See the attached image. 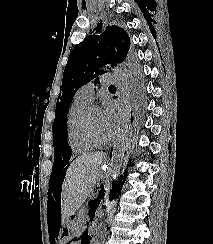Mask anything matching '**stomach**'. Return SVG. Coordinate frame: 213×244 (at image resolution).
Returning a JSON list of instances; mask_svg holds the SVG:
<instances>
[{
    "mask_svg": "<svg viewBox=\"0 0 213 244\" xmlns=\"http://www.w3.org/2000/svg\"><path fill=\"white\" fill-rule=\"evenodd\" d=\"M79 230L80 227L76 217L71 215L70 218L63 223V229L61 231L62 239H58V244H69V239H75V233Z\"/></svg>",
    "mask_w": 213,
    "mask_h": 244,
    "instance_id": "0dacf381",
    "label": "stomach"
}]
</instances>
